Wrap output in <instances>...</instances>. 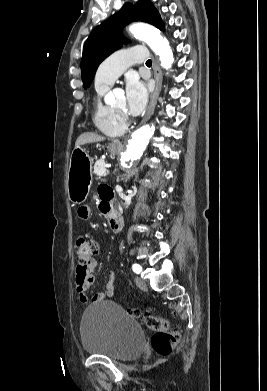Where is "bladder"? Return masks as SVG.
Listing matches in <instances>:
<instances>
[{"label":"bladder","mask_w":267,"mask_h":391,"mask_svg":"<svg viewBox=\"0 0 267 391\" xmlns=\"http://www.w3.org/2000/svg\"><path fill=\"white\" fill-rule=\"evenodd\" d=\"M83 350L92 355L127 361L138 357L145 344V334L136 320L111 301L89 307L81 321Z\"/></svg>","instance_id":"bladder-1"}]
</instances>
